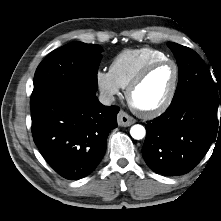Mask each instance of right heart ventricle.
Returning <instances> with one entry per match:
<instances>
[{"label": "right heart ventricle", "mask_w": 221, "mask_h": 221, "mask_svg": "<svg viewBox=\"0 0 221 221\" xmlns=\"http://www.w3.org/2000/svg\"><path fill=\"white\" fill-rule=\"evenodd\" d=\"M165 58L167 57L163 52L149 47L126 49L112 60L109 72L120 88H127L146 64Z\"/></svg>", "instance_id": "e07e8e85"}]
</instances>
